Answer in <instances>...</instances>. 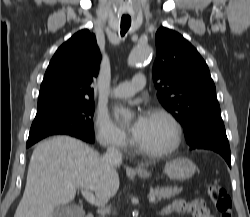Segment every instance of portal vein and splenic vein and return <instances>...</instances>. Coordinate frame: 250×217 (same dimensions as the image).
<instances>
[{
	"label": "portal vein and splenic vein",
	"instance_id": "18ae733b",
	"mask_svg": "<svg viewBox=\"0 0 250 217\" xmlns=\"http://www.w3.org/2000/svg\"><path fill=\"white\" fill-rule=\"evenodd\" d=\"M81 193L83 194L84 198L90 203L98 207H103L104 205L94 196V194L86 189L81 188ZM156 197L155 196H150L149 197V202L153 203L155 202Z\"/></svg>",
	"mask_w": 250,
	"mask_h": 217
}]
</instances>
